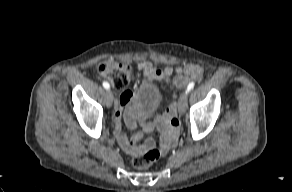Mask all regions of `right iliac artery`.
<instances>
[{
	"mask_svg": "<svg viewBox=\"0 0 292 192\" xmlns=\"http://www.w3.org/2000/svg\"><path fill=\"white\" fill-rule=\"evenodd\" d=\"M103 87L108 90L110 88V85H109L108 82L104 81L103 82Z\"/></svg>",
	"mask_w": 292,
	"mask_h": 192,
	"instance_id": "82829eb1",
	"label": "right iliac artery"
}]
</instances>
